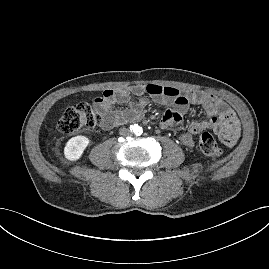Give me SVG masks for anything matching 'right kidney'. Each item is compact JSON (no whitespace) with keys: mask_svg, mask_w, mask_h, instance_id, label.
Instances as JSON below:
<instances>
[{"mask_svg":"<svg viewBox=\"0 0 269 269\" xmlns=\"http://www.w3.org/2000/svg\"><path fill=\"white\" fill-rule=\"evenodd\" d=\"M90 140L86 136H75L68 140L64 148V155L70 161L80 159Z\"/></svg>","mask_w":269,"mask_h":269,"instance_id":"right-kidney-1","label":"right kidney"}]
</instances>
